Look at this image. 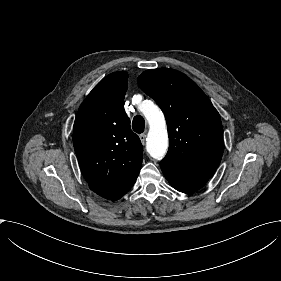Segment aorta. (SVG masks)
Segmentation results:
<instances>
[{
    "label": "aorta",
    "mask_w": 281,
    "mask_h": 281,
    "mask_svg": "<svg viewBox=\"0 0 281 281\" xmlns=\"http://www.w3.org/2000/svg\"><path fill=\"white\" fill-rule=\"evenodd\" d=\"M140 111L149 123L146 149L154 159H162L168 149V133L166 122L161 110L151 101L139 105Z\"/></svg>",
    "instance_id": "obj_1"
}]
</instances>
